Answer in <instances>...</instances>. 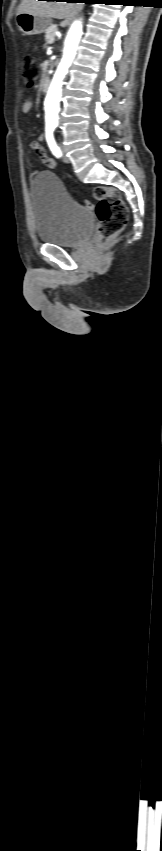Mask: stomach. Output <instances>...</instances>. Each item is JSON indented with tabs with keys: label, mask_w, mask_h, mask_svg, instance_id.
I'll use <instances>...</instances> for the list:
<instances>
[{
	"label": "stomach",
	"mask_w": 162,
	"mask_h": 851,
	"mask_svg": "<svg viewBox=\"0 0 162 851\" xmlns=\"http://www.w3.org/2000/svg\"><path fill=\"white\" fill-rule=\"evenodd\" d=\"M16 23L23 35H37L46 31L51 24V20L50 18L31 13H18Z\"/></svg>",
	"instance_id": "0dacf381"
}]
</instances>
